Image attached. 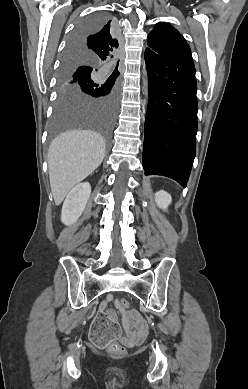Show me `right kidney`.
<instances>
[{"instance_id": "right-kidney-1", "label": "right kidney", "mask_w": 248, "mask_h": 389, "mask_svg": "<svg viewBox=\"0 0 248 389\" xmlns=\"http://www.w3.org/2000/svg\"><path fill=\"white\" fill-rule=\"evenodd\" d=\"M91 194L88 182L80 183L68 193L61 211V221L65 225L74 224L83 213Z\"/></svg>"}]
</instances>
